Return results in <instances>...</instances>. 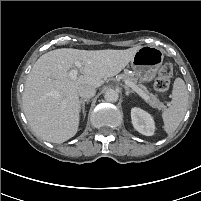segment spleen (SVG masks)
<instances>
[{
  "mask_svg": "<svg viewBox=\"0 0 201 201\" xmlns=\"http://www.w3.org/2000/svg\"><path fill=\"white\" fill-rule=\"evenodd\" d=\"M188 106V91L185 82L176 78L173 84L172 101L163 114L164 129L167 134H172L183 120Z\"/></svg>",
  "mask_w": 201,
  "mask_h": 201,
  "instance_id": "spleen-1",
  "label": "spleen"
}]
</instances>
